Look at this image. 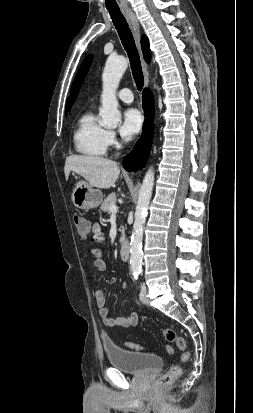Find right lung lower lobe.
<instances>
[{"instance_id": "1", "label": "right lung lower lobe", "mask_w": 253, "mask_h": 413, "mask_svg": "<svg viewBox=\"0 0 253 413\" xmlns=\"http://www.w3.org/2000/svg\"><path fill=\"white\" fill-rule=\"evenodd\" d=\"M142 106L146 117L142 137L137 143L134 151L123 160L124 168L128 171H130L132 167L135 169L143 168L146 165L150 152L154 134V100L149 89H144L143 91Z\"/></svg>"}]
</instances>
